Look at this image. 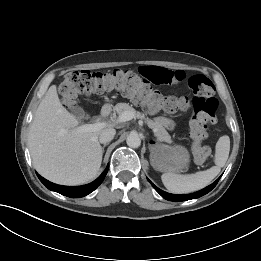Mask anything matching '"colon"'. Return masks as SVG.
Instances as JSON below:
<instances>
[{
    "label": "colon",
    "mask_w": 261,
    "mask_h": 261,
    "mask_svg": "<svg viewBox=\"0 0 261 261\" xmlns=\"http://www.w3.org/2000/svg\"><path fill=\"white\" fill-rule=\"evenodd\" d=\"M191 98L163 95L137 73L130 70L115 69L111 72L78 70L65 75L59 86L62 102L67 107L75 106L79 96H91L108 91L131 98L146 110H163L174 113L192 107L190 133L194 142L193 154L198 162L206 161L212 154L211 149L202 143L206 127L216 123L218 101L214 96L213 82L202 74L188 79Z\"/></svg>",
    "instance_id": "colon-1"
}]
</instances>
